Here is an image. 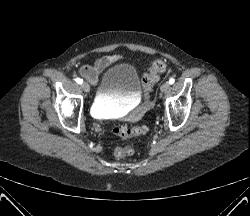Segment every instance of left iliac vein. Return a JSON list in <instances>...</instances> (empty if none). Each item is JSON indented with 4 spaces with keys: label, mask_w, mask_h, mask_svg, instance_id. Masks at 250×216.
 I'll return each mask as SVG.
<instances>
[{
    "label": "left iliac vein",
    "mask_w": 250,
    "mask_h": 216,
    "mask_svg": "<svg viewBox=\"0 0 250 216\" xmlns=\"http://www.w3.org/2000/svg\"><path fill=\"white\" fill-rule=\"evenodd\" d=\"M168 89H169V83H168V82L163 83V84L161 85V87H160V90H161L162 92H166Z\"/></svg>",
    "instance_id": "left-iliac-vein-1"
}]
</instances>
